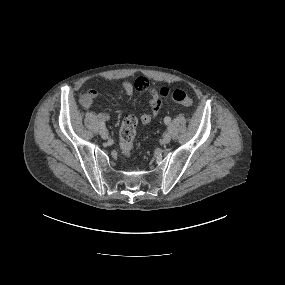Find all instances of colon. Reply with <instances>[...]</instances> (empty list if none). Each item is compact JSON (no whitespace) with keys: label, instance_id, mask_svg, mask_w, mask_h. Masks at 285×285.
<instances>
[{"label":"colon","instance_id":"colon-1","mask_svg":"<svg viewBox=\"0 0 285 285\" xmlns=\"http://www.w3.org/2000/svg\"><path fill=\"white\" fill-rule=\"evenodd\" d=\"M148 80L144 77H139L135 81V86L137 89H143L146 87ZM172 99L184 106L189 108L193 104L192 98L183 90L177 89L171 94ZM137 134V119L133 115H127L124 117L119 137H120V148L125 156H130L134 149V142Z\"/></svg>","mask_w":285,"mask_h":285}]
</instances>
